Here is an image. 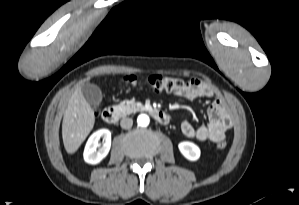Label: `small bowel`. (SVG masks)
Listing matches in <instances>:
<instances>
[{"label":"small bowel","mask_w":299,"mask_h":205,"mask_svg":"<svg viewBox=\"0 0 299 205\" xmlns=\"http://www.w3.org/2000/svg\"><path fill=\"white\" fill-rule=\"evenodd\" d=\"M176 94L187 100L200 98H212L215 91L210 84L199 79H193L187 86ZM208 123L199 127L184 121L181 124V132L188 138H196L200 141L217 143L225 139L226 132L231 128V116L226 103L216 98L207 109Z\"/></svg>","instance_id":"small-bowel-1"}]
</instances>
